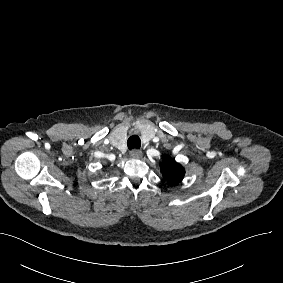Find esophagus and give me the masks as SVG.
<instances>
[{
    "label": "esophagus",
    "instance_id": "obj_1",
    "mask_svg": "<svg viewBox=\"0 0 283 283\" xmlns=\"http://www.w3.org/2000/svg\"><path fill=\"white\" fill-rule=\"evenodd\" d=\"M130 157L134 159L142 158V151L140 149H133L130 151Z\"/></svg>",
    "mask_w": 283,
    "mask_h": 283
}]
</instances>
